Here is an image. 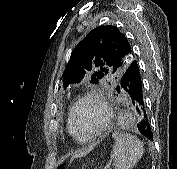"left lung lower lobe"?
<instances>
[{"instance_id": "obj_1", "label": "left lung lower lobe", "mask_w": 177, "mask_h": 169, "mask_svg": "<svg viewBox=\"0 0 177 169\" xmlns=\"http://www.w3.org/2000/svg\"><path fill=\"white\" fill-rule=\"evenodd\" d=\"M116 90L130 95L133 105L141 116V121L137 126L139 132L149 140H153V134L143 99L141 70L136 60H133L129 64L123 73Z\"/></svg>"}]
</instances>
